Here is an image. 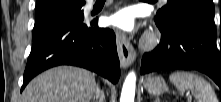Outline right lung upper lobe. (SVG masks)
I'll use <instances>...</instances> for the list:
<instances>
[{
    "instance_id": "right-lung-upper-lobe-1",
    "label": "right lung upper lobe",
    "mask_w": 221,
    "mask_h": 102,
    "mask_svg": "<svg viewBox=\"0 0 221 102\" xmlns=\"http://www.w3.org/2000/svg\"><path fill=\"white\" fill-rule=\"evenodd\" d=\"M47 1H49V0H37L36 8L41 7L42 5H44L45 3H47ZM83 1H84V0H83Z\"/></svg>"
}]
</instances>
